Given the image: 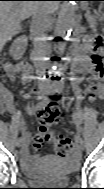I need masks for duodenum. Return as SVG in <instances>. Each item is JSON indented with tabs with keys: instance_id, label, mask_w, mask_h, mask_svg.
Masks as SVG:
<instances>
[{
	"instance_id": "1",
	"label": "duodenum",
	"mask_w": 104,
	"mask_h": 189,
	"mask_svg": "<svg viewBox=\"0 0 104 189\" xmlns=\"http://www.w3.org/2000/svg\"><path fill=\"white\" fill-rule=\"evenodd\" d=\"M78 53L81 55V60H89L90 59L86 53H84L82 51H79Z\"/></svg>"
}]
</instances>
